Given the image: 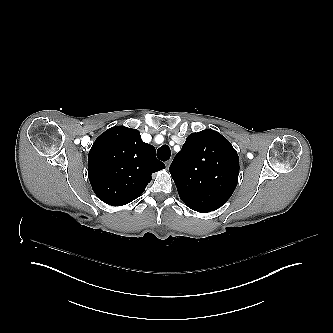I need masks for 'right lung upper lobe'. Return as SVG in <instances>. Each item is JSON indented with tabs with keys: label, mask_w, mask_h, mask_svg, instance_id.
<instances>
[{
	"label": "right lung upper lobe",
	"mask_w": 333,
	"mask_h": 333,
	"mask_svg": "<svg viewBox=\"0 0 333 333\" xmlns=\"http://www.w3.org/2000/svg\"><path fill=\"white\" fill-rule=\"evenodd\" d=\"M164 168V163L155 157V148L142 141L140 132L124 126L102 133L88 155L93 191L112 206H122L139 197L152 173Z\"/></svg>",
	"instance_id": "cb5924a9"
}]
</instances>
